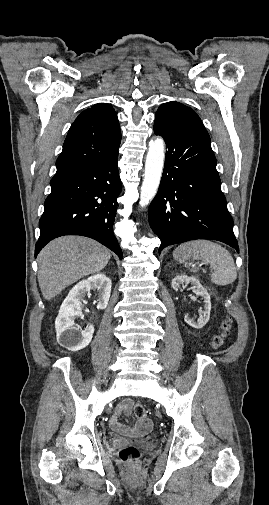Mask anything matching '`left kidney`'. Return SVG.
Instances as JSON below:
<instances>
[{
  "label": "left kidney",
  "mask_w": 269,
  "mask_h": 505,
  "mask_svg": "<svg viewBox=\"0 0 269 505\" xmlns=\"http://www.w3.org/2000/svg\"><path fill=\"white\" fill-rule=\"evenodd\" d=\"M191 284L193 286V292L197 296H201L204 299V311H202V315L200 318L195 321L194 319L190 318L188 315H185L184 321L191 327L196 328V329H201L203 326L206 325V323L209 321L210 318V311H211V301H210V295L207 292L206 288H204L199 280L194 277V276H187V275H177L172 279L171 282V287L177 291L180 288L181 284Z\"/></svg>",
  "instance_id": "obj_1"
}]
</instances>
